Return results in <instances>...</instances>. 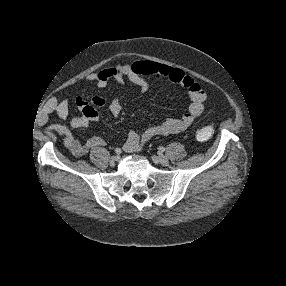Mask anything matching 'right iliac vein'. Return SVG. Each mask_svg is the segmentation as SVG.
<instances>
[{
  "mask_svg": "<svg viewBox=\"0 0 286 286\" xmlns=\"http://www.w3.org/2000/svg\"><path fill=\"white\" fill-rule=\"evenodd\" d=\"M116 161H117V156H112V157L110 158V165H111V166H114L115 163H116Z\"/></svg>",
  "mask_w": 286,
  "mask_h": 286,
  "instance_id": "63e3f726",
  "label": "right iliac vein"
}]
</instances>
